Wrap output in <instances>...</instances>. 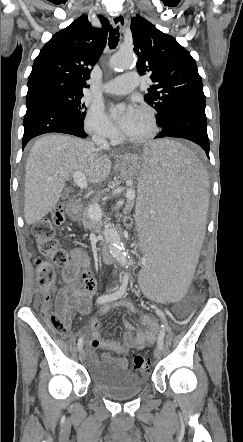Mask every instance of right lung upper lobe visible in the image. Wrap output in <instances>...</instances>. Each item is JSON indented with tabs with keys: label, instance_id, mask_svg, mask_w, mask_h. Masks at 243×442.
<instances>
[{
	"label": "right lung upper lobe",
	"instance_id": "obj_1",
	"mask_svg": "<svg viewBox=\"0 0 243 442\" xmlns=\"http://www.w3.org/2000/svg\"><path fill=\"white\" fill-rule=\"evenodd\" d=\"M102 28H94L86 15L62 29L40 50L28 77L26 98L59 89L83 93L90 67L105 48L109 21L98 16Z\"/></svg>",
	"mask_w": 243,
	"mask_h": 442
}]
</instances>
